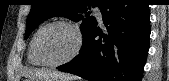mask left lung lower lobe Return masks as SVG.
<instances>
[{
	"label": "left lung lower lobe",
	"instance_id": "left-lung-lower-lobe-1",
	"mask_svg": "<svg viewBox=\"0 0 169 81\" xmlns=\"http://www.w3.org/2000/svg\"><path fill=\"white\" fill-rule=\"evenodd\" d=\"M148 6L144 0H104L100 8L107 32L96 22L80 53L58 69L89 81H141L151 32Z\"/></svg>",
	"mask_w": 169,
	"mask_h": 81
}]
</instances>
